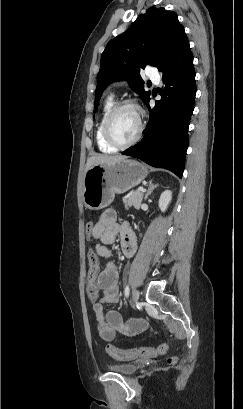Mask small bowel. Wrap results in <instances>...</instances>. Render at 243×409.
I'll return each mask as SVG.
<instances>
[{
  "label": "small bowel",
  "instance_id": "obj_1",
  "mask_svg": "<svg viewBox=\"0 0 243 409\" xmlns=\"http://www.w3.org/2000/svg\"><path fill=\"white\" fill-rule=\"evenodd\" d=\"M120 236L121 249L125 257H131L136 250V237L127 222L119 223L117 213L108 209L104 211L95 224L92 236L98 240L94 257H89L88 284L97 290H103V296L93 304L97 330L104 341H112L116 332L125 335H137L145 330L147 323L142 319L124 322L117 310L104 312L106 304L119 301V273L112 261V252L107 245L113 244ZM106 259L103 269H99V259Z\"/></svg>",
  "mask_w": 243,
  "mask_h": 409
}]
</instances>
